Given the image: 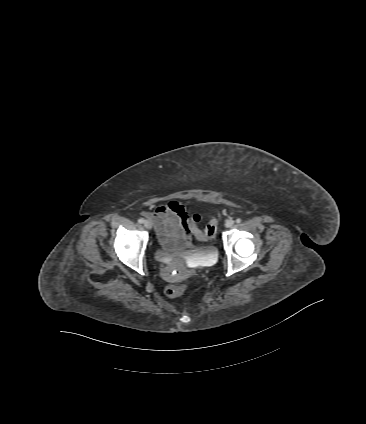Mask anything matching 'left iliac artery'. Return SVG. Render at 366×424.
<instances>
[{
  "label": "left iliac artery",
  "mask_w": 366,
  "mask_h": 424,
  "mask_svg": "<svg viewBox=\"0 0 366 424\" xmlns=\"http://www.w3.org/2000/svg\"><path fill=\"white\" fill-rule=\"evenodd\" d=\"M241 221H242V220H241L240 218H237V219H236V223H241Z\"/></svg>",
  "instance_id": "left-iliac-artery-1"
}]
</instances>
